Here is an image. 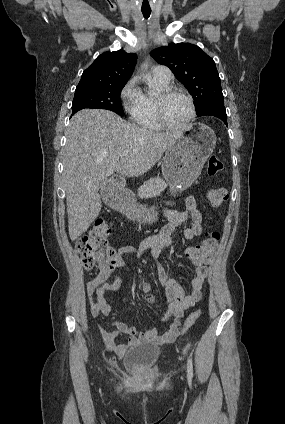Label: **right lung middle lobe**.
<instances>
[{
	"instance_id": "right-lung-middle-lobe-1",
	"label": "right lung middle lobe",
	"mask_w": 285,
	"mask_h": 424,
	"mask_svg": "<svg viewBox=\"0 0 285 424\" xmlns=\"http://www.w3.org/2000/svg\"><path fill=\"white\" fill-rule=\"evenodd\" d=\"M125 84L77 86L72 111L85 108L107 109L123 116L120 94Z\"/></svg>"
}]
</instances>
